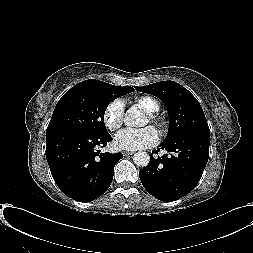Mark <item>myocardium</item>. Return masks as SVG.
<instances>
[{
  "instance_id": "obj_1",
  "label": "myocardium",
  "mask_w": 253,
  "mask_h": 253,
  "mask_svg": "<svg viewBox=\"0 0 253 253\" xmlns=\"http://www.w3.org/2000/svg\"><path fill=\"white\" fill-rule=\"evenodd\" d=\"M149 122L159 131L164 132L167 127L166 119L158 113H146Z\"/></svg>"
}]
</instances>
